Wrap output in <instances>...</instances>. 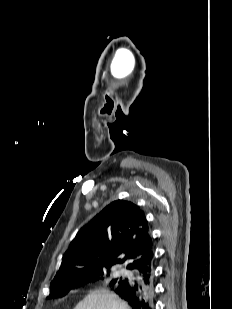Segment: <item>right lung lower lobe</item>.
<instances>
[{
  "instance_id": "98d812e1",
  "label": "right lung lower lobe",
  "mask_w": 232,
  "mask_h": 309,
  "mask_svg": "<svg viewBox=\"0 0 232 309\" xmlns=\"http://www.w3.org/2000/svg\"><path fill=\"white\" fill-rule=\"evenodd\" d=\"M153 257L143 258L127 267L132 275L113 290L128 302L133 309H154Z\"/></svg>"
}]
</instances>
